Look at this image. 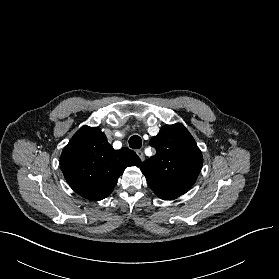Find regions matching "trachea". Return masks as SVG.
Masks as SVG:
<instances>
[{
    "mask_svg": "<svg viewBox=\"0 0 279 279\" xmlns=\"http://www.w3.org/2000/svg\"><path fill=\"white\" fill-rule=\"evenodd\" d=\"M129 146L133 149H139L142 146V139L138 135H133L129 139Z\"/></svg>",
    "mask_w": 279,
    "mask_h": 279,
    "instance_id": "3493384b",
    "label": "trachea"
}]
</instances>
